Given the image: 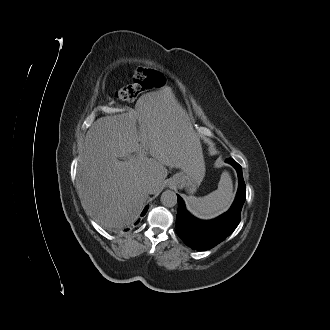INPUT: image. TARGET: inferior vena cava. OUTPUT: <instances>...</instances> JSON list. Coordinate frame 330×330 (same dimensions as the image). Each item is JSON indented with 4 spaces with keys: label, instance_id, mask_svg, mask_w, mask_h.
Segmentation results:
<instances>
[{
    "label": "inferior vena cava",
    "instance_id": "obj_1",
    "mask_svg": "<svg viewBox=\"0 0 330 330\" xmlns=\"http://www.w3.org/2000/svg\"><path fill=\"white\" fill-rule=\"evenodd\" d=\"M156 184L153 179H150L146 182L145 189L149 194H153L155 192Z\"/></svg>",
    "mask_w": 330,
    "mask_h": 330
}]
</instances>
